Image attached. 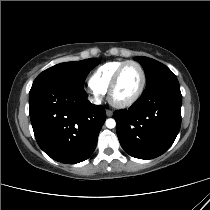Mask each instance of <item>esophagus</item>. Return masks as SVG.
Here are the masks:
<instances>
[{
	"label": "esophagus",
	"instance_id": "obj_1",
	"mask_svg": "<svg viewBox=\"0 0 210 210\" xmlns=\"http://www.w3.org/2000/svg\"><path fill=\"white\" fill-rule=\"evenodd\" d=\"M106 115H107L108 117L113 116V111L107 109V110H106Z\"/></svg>",
	"mask_w": 210,
	"mask_h": 210
}]
</instances>
